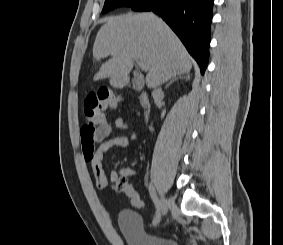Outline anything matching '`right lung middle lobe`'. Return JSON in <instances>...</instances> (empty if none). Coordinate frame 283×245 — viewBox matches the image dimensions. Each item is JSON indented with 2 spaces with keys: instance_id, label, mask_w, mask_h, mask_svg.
<instances>
[{
  "instance_id": "right-lung-middle-lobe-1",
  "label": "right lung middle lobe",
  "mask_w": 283,
  "mask_h": 245,
  "mask_svg": "<svg viewBox=\"0 0 283 245\" xmlns=\"http://www.w3.org/2000/svg\"><path fill=\"white\" fill-rule=\"evenodd\" d=\"M141 1L142 0H105L102 13L109 12L112 9L122 6L132 7Z\"/></svg>"
}]
</instances>
